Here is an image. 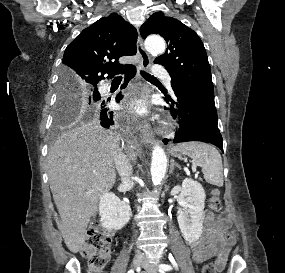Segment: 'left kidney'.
<instances>
[{"mask_svg":"<svg viewBox=\"0 0 285 273\" xmlns=\"http://www.w3.org/2000/svg\"><path fill=\"white\" fill-rule=\"evenodd\" d=\"M205 198L200 183L188 178L182 182L181 193L177 198L181 206L177 220L184 239L190 244L197 242L203 232Z\"/></svg>","mask_w":285,"mask_h":273,"instance_id":"1","label":"left kidney"}]
</instances>
